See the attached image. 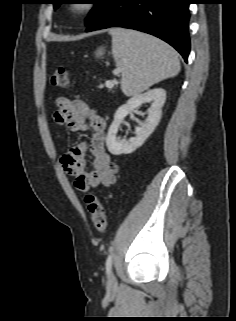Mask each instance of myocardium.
Segmentation results:
<instances>
[{
  "label": "myocardium",
  "instance_id": "obj_1",
  "mask_svg": "<svg viewBox=\"0 0 236 321\" xmlns=\"http://www.w3.org/2000/svg\"><path fill=\"white\" fill-rule=\"evenodd\" d=\"M96 9V4L89 1H76L66 5V13L73 18H83L92 14Z\"/></svg>",
  "mask_w": 236,
  "mask_h": 321
}]
</instances>
